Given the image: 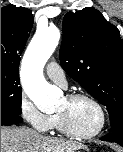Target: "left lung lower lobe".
Wrapping results in <instances>:
<instances>
[{
  "label": "left lung lower lobe",
  "instance_id": "0a47b994",
  "mask_svg": "<svg viewBox=\"0 0 123 152\" xmlns=\"http://www.w3.org/2000/svg\"><path fill=\"white\" fill-rule=\"evenodd\" d=\"M101 140L113 141L123 146V129H118L114 133L102 137Z\"/></svg>",
  "mask_w": 123,
  "mask_h": 152
}]
</instances>
